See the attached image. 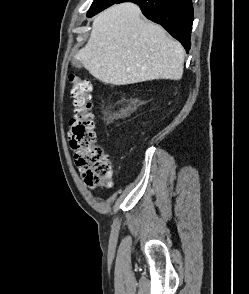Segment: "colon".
I'll return each instance as SVG.
<instances>
[{"instance_id":"5ec220e1","label":"colon","mask_w":249,"mask_h":294,"mask_svg":"<svg viewBox=\"0 0 249 294\" xmlns=\"http://www.w3.org/2000/svg\"><path fill=\"white\" fill-rule=\"evenodd\" d=\"M71 96L74 113L70 119L69 144L77 168L89 187H110L114 168L109 156L96 144L92 114V85L89 80L71 74Z\"/></svg>"}]
</instances>
